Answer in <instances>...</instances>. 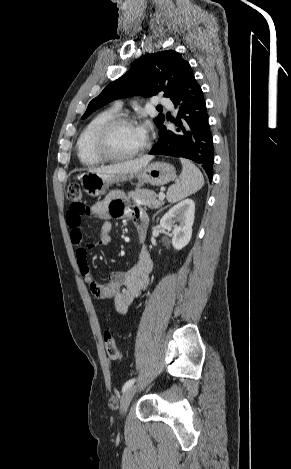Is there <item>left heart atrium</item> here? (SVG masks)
<instances>
[{
    "mask_svg": "<svg viewBox=\"0 0 291 469\" xmlns=\"http://www.w3.org/2000/svg\"><path fill=\"white\" fill-rule=\"evenodd\" d=\"M138 129H139L140 133L142 134V136L146 139L147 135H148V131H149L148 124L147 123L142 124V125L138 126Z\"/></svg>",
    "mask_w": 291,
    "mask_h": 469,
    "instance_id": "left-heart-atrium-1",
    "label": "left heart atrium"
}]
</instances>
